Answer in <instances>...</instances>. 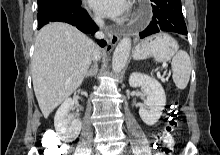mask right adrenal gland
Returning a JSON list of instances; mask_svg holds the SVG:
<instances>
[{
	"mask_svg": "<svg viewBox=\"0 0 220 155\" xmlns=\"http://www.w3.org/2000/svg\"><path fill=\"white\" fill-rule=\"evenodd\" d=\"M97 71H98V65L95 62L94 65L92 66V68L86 73L85 78L95 76Z\"/></svg>",
	"mask_w": 220,
	"mask_h": 155,
	"instance_id": "right-adrenal-gland-1",
	"label": "right adrenal gland"
}]
</instances>
